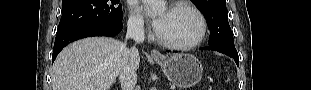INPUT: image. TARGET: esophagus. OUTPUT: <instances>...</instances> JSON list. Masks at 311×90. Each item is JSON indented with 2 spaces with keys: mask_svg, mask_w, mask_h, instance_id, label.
<instances>
[{
  "mask_svg": "<svg viewBox=\"0 0 311 90\" xmlns=\"http://www.w3.org/2000/svg\"><path fill=\"white\" fill-rule=\"evenodd\" d=\"M151 56L154 58V59H159L161 58V53L157 50V49H153L151 51Z\"/></svg>",
  "mask_w": 311,
  "mask_h": 90,
  "instance_id": "esophagus-1",
  "label": "esophagus"
}]
</instances>
